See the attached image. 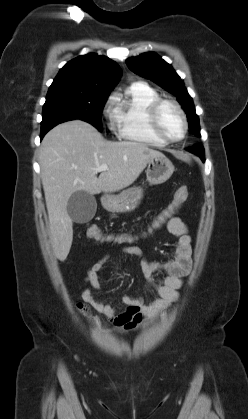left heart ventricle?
<instances>
[{
    "label": "left heart ventricle",
    "mask_w": 248,
    "mask_h": 419,
    "mask_svg": "<svg viewBox=\"0 0 248 419\" xmlns=\"http://www.w3.org/2000/svg\"><path fill=\"white\" fill-rule=\"evenodd\" d=\"M158 121L161 131L171 139H177L183 132V122L177 110L169 105L161 106L158 113Z\"/></svg>",
    "instance_id": "obj_1"
}]
</instances>
